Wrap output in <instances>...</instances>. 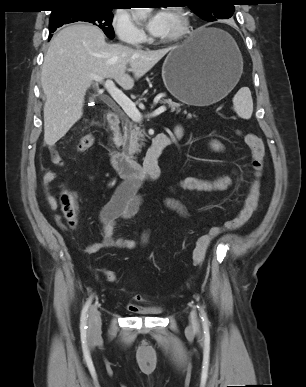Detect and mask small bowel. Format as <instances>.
Wrapping results in <instances>:
<instances>
[{
    "label": "small bowel",
    "mask_w": 306,
    "mask_h": 387,
    "mask_svg": "<svg viewBox=\"0 0 306 387\" xmlns=\"http://www.w3.org/2000/svg\"><path fill=\"white\" fill-rule=\"evenodd\" d=\"M183 134L181 126H176L174 129L173 136ZM209 147L214 152H220L223 149V145L216 139L209 140ZM50 157L52 163L61 168L65 169L66 163L64 159L59 155L56 149L50 147ZM60 176L59 172L53 170H45L43 174V186L45 191V198L49 207L54 210L57 207L55 198L50 194V185L58 179ZM231 184V177L224 175L214 180H204L197 177L189 176L185 177L178 182V187L183 190L189 191H201V192H213L223 191L227 189ZM138 183L125 182L121 184L112 198L101 208L98 214V220L101 225V240L98 242L90 243L84 248V252L88 254H95L103 249L118 248L124 250H134L138 246L146 245L150 238V232L144 231L141 234L139 241L130 238H124L118 236L115 232L118 224L126 219L134 216L140 206L141 199L138 194ZM166 206L181 217H187L188 213L184 205L180 200L174 197H169L165 200ZM56 224L61 228L65 229L61 218L55 216ZM140 298H136V302L129 305L131 311L138 310Z\"/></svg>",
    "instance_id": "small-bowel-1"
}]
</instances>
